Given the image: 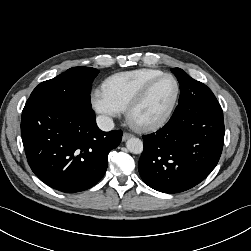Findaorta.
<instances>
[{
	"label": "aorta",
	"mask_w": 251,
	"mask_h": 251,
	"mask_svg": "<svg viewBox=\"0 0 251 251\" xmlns=\"http://www.w3.org/2000/svg\"><path fill=\"white\" fill-rule=\"evenodd\" d=\"M127 149L133 154H140L143 151V142L136 137H132L126 142Z\"/></svg>",
	"instance_id": "aorta-1"
}]
</instances>
